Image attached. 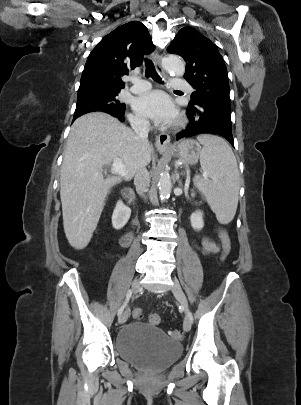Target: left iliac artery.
<instances>
[{
  "label": "left iliac artery",
  "mask_w": 301,
  "mask_h": 405,
  "mask_svg": "<svg viewBox=\"0 0 301 405\" xmlns=\"http://www.w3.org/2000/svg\"><path fill=\"white\" fill-rule=\"evenodd\" d=\"M188 316H189V318L191 320V323H192L193 322V316H192V314L190 312H188Z\"/></svg>",
  "instance_id": "left-iliac-artery-1"
}]
</instances>
